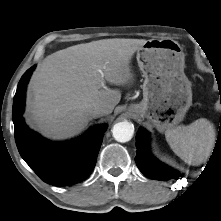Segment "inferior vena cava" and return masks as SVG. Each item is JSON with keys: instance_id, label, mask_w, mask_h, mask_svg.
<instances>
[{"instance_id": "1", "label": "inferior vena cava", "mask_w": 221, "mask_h": 221, "mask_svg": "<svg viewBox=\"0 0 221 221\" xmlns=\"http://www.w3.org/2000/svg\"><path fill=\"white\" fill-rule=\"evenodd\" d=\"M87 116L89 118H97L105 113V109L100 105L89 106L86 110Z\"/></svg>"}]
</instances>
